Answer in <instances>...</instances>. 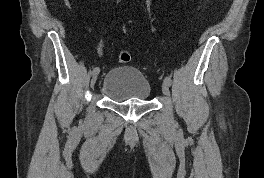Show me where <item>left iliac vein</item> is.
Returning a JSON list of instances; mask_svg holds the SVG:
<instances>
[{
  "label": "left iliac vein",
  "mask_w": 264,
  "mask_h": 178,
  "mask_svg": "<svg viewBox=\"0 0 264 178\" xmlns=\"http://www.w3.org/2000/svg\"><path fill=\"white\" fill-rule=\"evenodd\" d=\"M162 92L167 97L170 95L169 85L165 81L162 84Z\"/></svg>",
  "instance_id": "4c4485c4"
}]
</instances>
